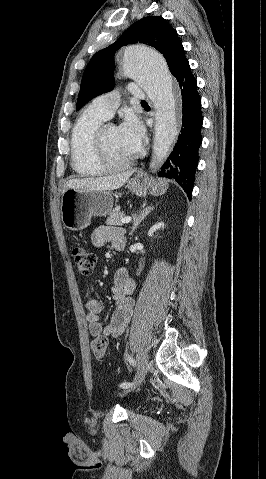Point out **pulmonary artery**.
<instances>
[{"label":"pulmonary artery","mask_w":266,"mask_h":479,"mask_svg":"<svg viewBox=\"0 0 266 479\" xmlns=\"http://www.w3.org/2000/svg\"><path fill=\"white\" fill-rule=\"evenodd\" d=\"M129 90L136 99L148 100V93L135 83L129 84ZM120 95L117 90L96 97L88 106V109L105 119H109L119 106Z\"/></svg>","instance_id":"e3ab8cb5"}]
</instances>
